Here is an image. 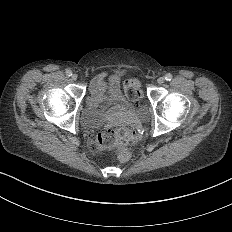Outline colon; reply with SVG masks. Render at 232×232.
<instances>
[{"label":"colon","instance_id":"5ec220e1","mask_svg":"<svg viewBox=\"0 0 232 232\" xmlns=\"http://www.w3.org/2000/svg\"><path fill=\"white\" fill-rule=\"evenodd\" d=\"M126 95H139L136 79H123ZM137 139V129L128 121L121 120L109 130H102L95 137V144L104 152H111L117 145L125 146Z\"/></svg>","mask_w":232,"mask_h":232}]
</instances>
